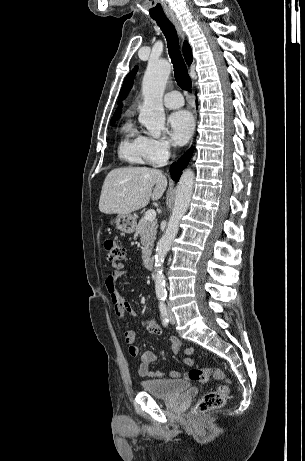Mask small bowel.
<instances>
[{
  "label": "small bowel",
  "mask_w": 305,
  "mask_h": 461,
  "mask_svg": "<svg viewBox=\"0 0 305 461\" xmlns=\"http://www.w3.org/2000/svg\"><path fill=\"white\" fill-rule=\"evenodd\" d=\"M126 274L125 270L117 269L112 271L105 279V288L108 292L110 300L112 302L115 315L121 321H127L128 316H136V313L132 307V305L124 299V297L118 291V280ZM142 324L147 328V330L151 333H159L160 327L155 322V320L151 318H147L142 320ZM124 340L128 346V352L131 356L136 357L139 354V348L136 345V334L135 331L131 328H126L124 332ZM170 349L172 353L177 354L181 348V342L177 337H170L169 338ZM185 357L183 358V363L188 366L192 367L195 364V360L190 357L194 353L193 347H187L184 350ZM158 356L153 351H146L141 355V362L139 364L138 373L141 377H149V378H159L164 375L163 371L160 370H152L150 368V364L157 360ZM173 377L178 376V373L173 372L171 374Z\"/></svg>",
  "instance_id": "1"
}]
</instances>
